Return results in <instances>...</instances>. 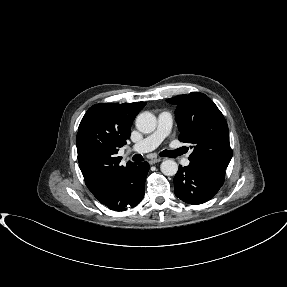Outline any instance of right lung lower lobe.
<instances>
[{
    "label": "right lung lower lobe",
    "mask_w": 287,
    "mask_h": 287,
    "mask_svg": "<svg viewBox=\"0 0 287 287\" xmlns=\"http://www.w3.org/2000/svg\"><path fill=\"white\" fill-rule=\"evenodd\" d=\"M148 171L147 162L130 164L109 184L104 195L98 200L114 211L135 207L144 197Z\"/></svg>",
    "instance_id": "98d812e1"
}]
</instances>
